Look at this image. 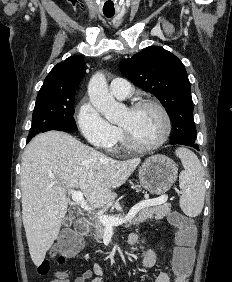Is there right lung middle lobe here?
<instances>
[{
	"label": "right lung middle lobe",
	"mask_w": 232,
	"mask_h": 282,
	"mask_svg": "<svg viewBox=\"0 0 232 282\" xmlns=\"http://www.w3.org/2000/svg\"><path fill=\"white\" fill-rule=\"evenodd\" d=\"M74 100L75 94H38L28 140L40 132L55 128L76 131L77 126L73 118Z\"/></svg>",
	"instance_id": "1"
}]
</instances>
